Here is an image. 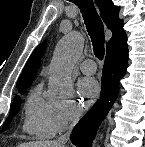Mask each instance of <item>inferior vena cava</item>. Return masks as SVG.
<instances>
[{
    "instance_id": "obj_1",
    "label": "inferior vena cava",
    "mask_w": 145,
    "mask_h": 147,
    "mask_svg": "<svg viewBox=\"0 0 145 147\" xmlns=\"http://www.w3.org/2000/svg\"><path fill=\"white\" fill-rule=\"evenodd\" d=\"M79 117H80V112L75 111L73 114L72 123L70 124L69 128L67 129V132L58 138V140H57L58 144H60L63 147L65 146L67 141L70 139V134L72 132V129H73L75 123L78 121Z\"/></svg>"
}]
</instances>
